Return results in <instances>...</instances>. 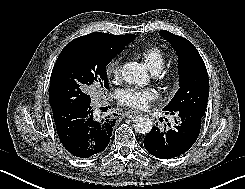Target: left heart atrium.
Instances as JSON below:
<instances>
[{
	"label": "left heart atrium",
	"instance_id": "left-heart-atrium-1",
	"mask_svg": "<svg viewBox=\"0 0 245 189\" xmlns=\"http://www.w3.org/2000/svg\"><path fill=\"white\" fill-rule=\"evenodd\" d=\"M154 97V91L135 86L126 87L118 92L120 103L134 109L145 107Z\"/></svg>",
	"mask_w": 245,
	"mask_h": 189
}]
</instances>
